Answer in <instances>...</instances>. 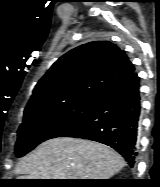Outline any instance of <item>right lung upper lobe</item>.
I'll use <instances>...</instances> for the list:
<instances>
[{
	"label": "right lung upper lobe",
	"instance_id": "1",
	"mask_svg": "<svg viewBox=\"0 0 160 187\" xmlns=\"http://www.w3.org/2000/svg\"><path fill=\"white\" fill-rule=\"evenodd\" d=\"M135 71L129 58L109 41H93L60 57L39 80L25 111L75 99H100Z\"/></svg>",
	"mask_w": 160,
	"mask_h": 187
}]
</instances>
